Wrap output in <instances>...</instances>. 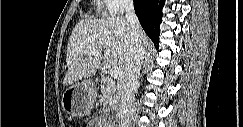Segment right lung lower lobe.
I'll return each mask as SVG.
<instances>
[{"mask_svg":"<svg viewBox=\"0 0 243 127\" xmlns=\"http://www.w3.org/2000/svg\"><path fill=\"white\" fill-rule=\"evenodd\" d=\"M164 3L165 0H134L135 13L139 22L156 48L159 45L160 23L162 22Z\"/></svg>","mask_w":243,"mask_h":127,"instance_id":"1","label":"right lung lower lobe"}]
</instances>
